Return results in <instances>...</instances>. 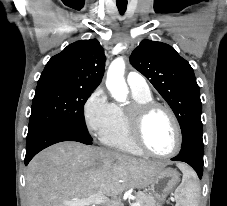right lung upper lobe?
<instances>
[{
  "mask_svg": "<svg viewBox=\"0 0 227 206\" xmlns=\"http://www.w3.org/2000/svg\"><path fill=\"white\" fill-rule=\"evenodd\" d=\"M105 61L104 50L96 39L74 42L51 57L38 84L95 90L102 80Z\"/></svg>",
  "mask_w": 227,
  "mask_h": 206,
  "instance_id": "1",
  "label": "right lung upper lobe"
}]
</instances>
